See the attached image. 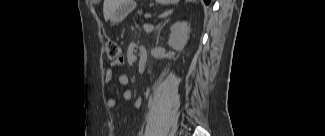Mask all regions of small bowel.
<instances>
[{
  "mask_svg": "<svg viewBox=\"0 0 325 136\" xmlns=\"http://www.w3.org/2000/svg\"><path fill=\"white\" fill-rule=\"evenodd\" d=\"M121 62H113L112 65L113 66H118L120 65ZM105 82L106 83H110L113 78H114V72L112 69H108L106 70L105 72ZM118 82L121 84V85H127L129 83V77L127 74H120L118 76ZM122 98L123 100L125 101H130L132 98H133V93L130 89H125L122 93ZM106 104L109 108H114L116 105H117V99L114 97V96H109L106 100ZM142 105V99L140 97L136 98L134 100V103H133V106L135 108H139L141 107Z\"/></svg>",
  "mask_w": 325,
  "mask_h": 136,
  "instance_id": "1",
  "label": "small bowel"
}]
</instances>
